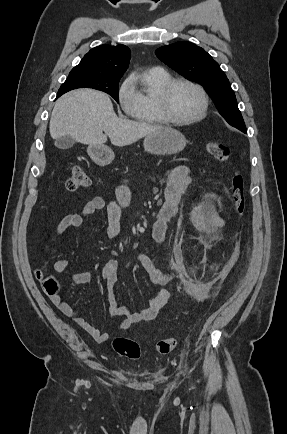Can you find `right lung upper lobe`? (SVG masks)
I'll return each instance as SVG.
<instances>
[{
  "mask_svg": "<svg viewBox=\"0 0 287 434\" xmlns=\"http://www.w3.org/2000/svg\"><path fill=\"white\" fill-rule=\"evenodd\" d=\"M129 60L127 46L105 44L91 49L71 72L117 79L127 70Z\"/></svg>",
  "mask_w": 287,
  "mask_h": 434,
  "instance_id": "obj_1",
  "label": "right lung upper lobe"
}]
</instances>
